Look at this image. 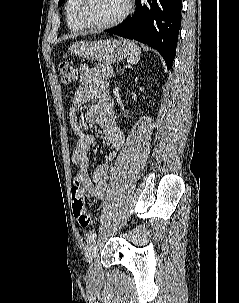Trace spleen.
I'll return each mask as SVG.
<instances>
[{
    "label": "spleen",
    "mask_w": 239,
    "mask_h": 303,
    "mask_svg": "<svg viewBox=\"0 0 239 303\" xmlns=\"http://www.w3.org/2000/svg\"><path fill=\"white\" fill-rule=\"evenodd\" d=\"M124 44L128 52V58H127L128 64L134 65L138 63L141 55V49L132 41L124 40Z\"/></svg>",
    "instance_id": "spleen-1"
}]
</instances>
